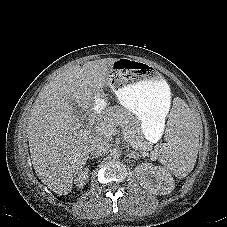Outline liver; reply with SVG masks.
<instances>
[{"mask_svg":"<svg viewBox=\"0 0 227 227\" xmlns=\"http://www.w3.org/2000/svg\"><path fill=\"white\" fill-rule=\"evenodd\" d=\"M115 61L104 58L71 66L51 80L35 100L27 129L33 168L41 182L59 195L72 190L93 141L89 131L80 129L72 103L83 112L92 111L96 97H103L109 86L105 70Z\"/></svg>","mask_w":227,"mask_h":227,"instance_id":"liver-1","label":"liver"}]
</instances>
